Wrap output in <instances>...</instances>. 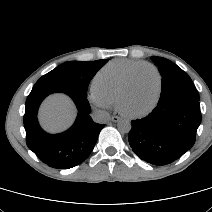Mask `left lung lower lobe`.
Here are the masks:
<instances>
[{
  "label": "left lung lower lobe",
  "instance_id": "0a47b994",
  "mask_svg": "<svg viewBox=\"0 0 212 212\" xmlns=\"http://www.w3.org/2000/svg\"><path fill=\"white\" fill-rule=\"evenodd\" d=\"M200 123L199 100L174 97L158 102L145 118L133 120L128 141L140 159L167 165L194 145Z\"/></svg>",
  "mask_w": 212,
  "mask_h": 212
}]
</instances>
